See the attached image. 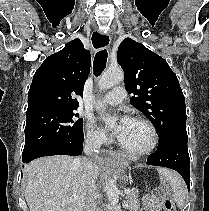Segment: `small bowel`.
I'll return each mask as SVG.
<instances>
[{
	"instance_id": "small-bowel-1",
	"label": "small bowel",
	"mask_w": 209,
	"mask_h": 211,
	"mask_svg": "<svg viewBox=\"0 0 209 211\" xmlns=\"http://www.w3.org/2000/svg\"><path fill=\"white\" fill-rule=\"evenodd\" d=\"M166 192L163 188H158L144 198V207L147 211H163L162 204L165 200Z\"/></svg>"
}]
</instances>
